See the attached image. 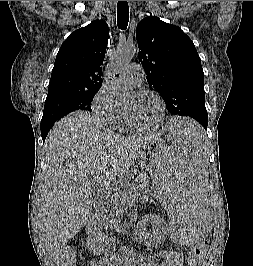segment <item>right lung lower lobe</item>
I'll return each instance as SVG.
<instances>
[{
	"label": "right lung lower lobe",
	"mask_w": 253,
	"mask_h": 266,
	"mask_svg": "<svg viewBox=\"0 0 253 266\" xmlns=\"http://www.w3.org/2000/svg\"><path fill=\"white\" fill-rule=\"evenodd\" d=\"M49 130H50V128H47V129H41V136H42V140H43V142L45 141L46 136H47Z\"/></svg>",
	"instance_id": "98d812e1"
}]
</instances>
